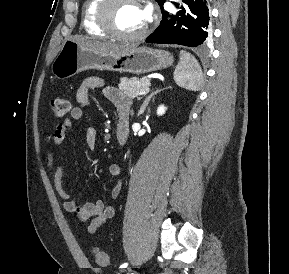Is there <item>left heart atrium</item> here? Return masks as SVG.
<instances>
[{
  "label": "left heart atrium",
  "mask_w": 289,
  "mask_h": 274,
  "mask_svg": "<svg viewBox=\"0 0 289 274\" xmlns=\"http://www.w3.org/2000/svg\"><path fill=\"white\" fill-rule=\"evenodd\" d=\"M151 6L150 5H147L145 7H143V13H144V16H145V19L148 20L150 18V15H151Z\"/></svg>",
  "instance_id": "1"
}]
</instances>
